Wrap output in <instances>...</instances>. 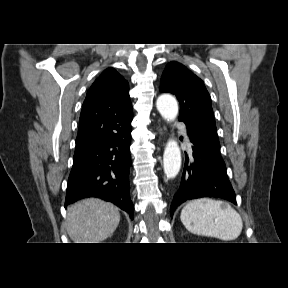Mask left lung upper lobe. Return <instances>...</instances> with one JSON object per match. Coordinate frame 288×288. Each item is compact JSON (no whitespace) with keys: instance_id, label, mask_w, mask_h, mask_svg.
Segmentation results:
<instances>
[{"instance_id":"5c2ea615","label":"left lung upper lobe","mask_w":288,"mask_h":288,"mask_svg":"<svg viewBox=\"0 0 288 288\" xmlns=\"http://www.w3.org/2000/svg\"><path fill=\"white\" fill-rule=\"evenodd\" d=\"M160 90L177 96L181 106L180 121L199 129L219 143L211 98L199 77L184 65L172 61L162 74Z\"/></svg>"}]
</instances>
